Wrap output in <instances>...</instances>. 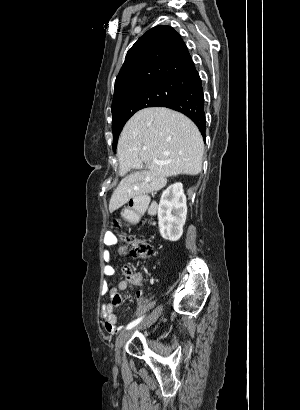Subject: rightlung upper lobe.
I'll return each mask as SVG.
<instances>
[{"label":"right lung upper lobe","mask_w":300,"mask_h":410,"mask_svg":"<svg viewBox=\"0 0 300 410\" xmlns=\"http://www.w3.org/2000/svg\"><path fill=\"white\" fill-rule=\"evenodd\" d=\"M180 35L170 26H156L141 36L127 52L115 80V101L129 89L164 82L187 83L196 73Z\"/></svg>","instance_id":"obj_1"}]
</instances>
